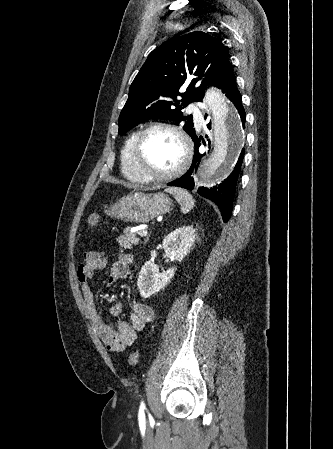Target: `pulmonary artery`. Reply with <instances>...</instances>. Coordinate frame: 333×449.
Segmentation results:
<instances>
[{
    "label": "pulmonary artery",
    "mask_w": 333,
    "mask_h": 449,
    "mask_svg": "<svg viewBox=\"0 0 333 449\" xmlns=\"http://www.w3.org/2000/svg\"><path fill=\"white\" fill-rule=\"evenodd\" d=\"M196 118L198 119L199 122H201V118L197 115Z\"/></svg>",
    "instance_id": "pulmonary-artery-1"
}]
</instances>
